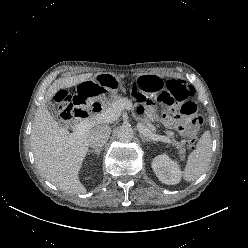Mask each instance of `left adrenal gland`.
Masks as SVG:
<instances>
[{"mask_svg":"<svg viewBox=\"0 0 248 248\" xmlns=\"http://www.w3.org/2000/svg\"><path fill=\"white\" fill-rule=\"evenodd\" d=\"M139 136H140V138L142 139V142H151V140L150 139H148V138H146L145 136H143L141 133H139Z\"/></svg>","mask_w":248,"mask_h":248,"instance_id":"1","label":"left adrenal gland"}]
</instances>
